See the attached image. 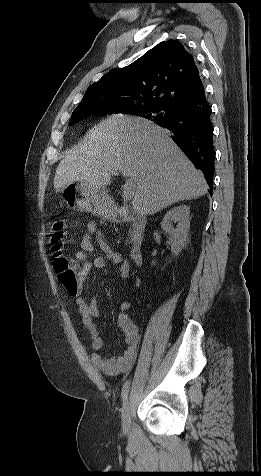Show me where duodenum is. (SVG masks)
Masks as SVG:
<instances>
[{
	"instance_id": "duodenum-1",
	"label": "duodenum",
	"mask_w": 261,
	"mask_h": 476,
	"mask_svg": "<svg viewBox=\"0 0 261 476\" xmlns=\"http://www.w3.org/2000/svg\"><path fill=\"white\" fill-rule=\"evenodd\" d=\"M117 222H130L134 228V237L130 248V257L136 265L143 263V234L146 228V218L125 208H118L113 214Z\"/></svg>"
}]
</instances>
